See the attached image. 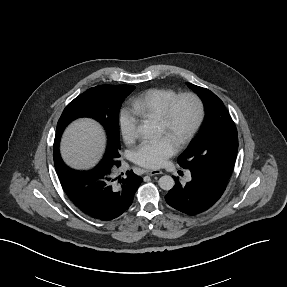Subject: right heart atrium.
I'll return each instance as SVG.
<instances>
[{"instance_id": "d8ad5b80", "label": "right heart atrium", "mask_w": 287, "mask_h": 287, "mask_svg": "<svg viewBox=\"0 0 287 287\" xmlns=\"http://www.w3.org/2000/svg\"><path fill=\"white\" fill-rule=\"evenodd\" d=\"M119 127L126 142L134 141L138 136V119L129 108H123L119 114Z\"/></svg>"}]
</instances>
